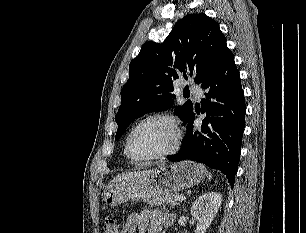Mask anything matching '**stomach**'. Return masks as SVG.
Wrapping results in <instances>:
<instances>
[{"label": "stomach", "instance_id": "1", "mask_svg": "<svg viewBox=\"0 0 306 233\" xmlns=\"http://www.w3.org/2000/svg\"><path fill=\"white\" fill-rule=\"evenodd\" d=\"M206 176L207 170L203 165L180 161L133 178L111 182L104 190L103 200L107 205L117 206L128 201L154 199L190 188Z\"/></svg>", "mask_w": 306, "mask_h": 233}]
</instances>
